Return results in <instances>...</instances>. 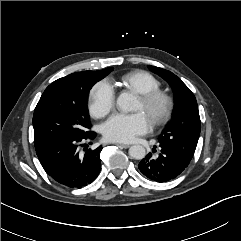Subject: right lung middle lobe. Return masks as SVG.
Masks as SVG:
<instances>
[{
  "label": "right lung middle lobe",
  "instance_id": "right-lung-middle-lobe-1",
  "mask_svg": "<svg viewBox=\"0 0 241 241\" xmlns=\"http://www.w3.org/2000/svg\"><path fill=\"white\" fill-rule=\"evenodd\" d=\"M112 70L110 67V72ZM108 74L97 75L88 71L73 73L46 88L33 115L36 150L51 142L83 137L90 132L86 108L88 92Z\"/></svg>",
  "mask_w": 241,
  "mask_h": 241
}]
</instances>
